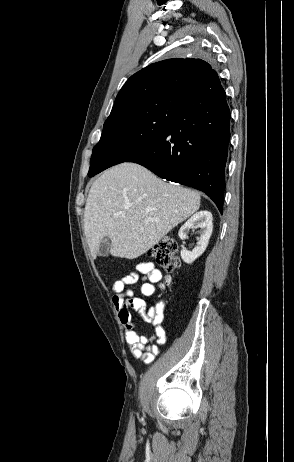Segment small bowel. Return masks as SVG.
<instances>
[{
    "instance_id": "1",
    "label": "small bowel",
    "mask_w": 294,
    "mask_h": 462,
    "mask_svg": "<svg viewBox=\"0 0 294 462\" xmlns=\"http://www.w3.org/2000/svg\"><path fill=\"white\" fill-rule=\"evenodd\" d=\"M162 279V273L152 262H142L133 271L117 280L112 285V303L123 325L126 326V343L134 358L151 363L159 354L161 346L166 342L165 330L162 327L164 318V302L153 303L146 311L145 301L136 296L132 289L134 285L141 282L140 293L150 297L155 293V285ZM129 308L139 311L144 321L152 324L154 335L151 338L138 333L131 321Z\"/></svg>"
}]
</instances>
